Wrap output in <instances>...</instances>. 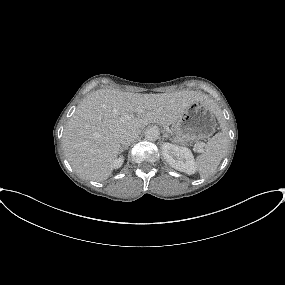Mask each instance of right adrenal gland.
Wrapping results in <instances>:
<instances>
[{
	"mask_svg": "<svg viewBox=\"0 0 285 285\" xmlns=\"http://www.w3.org/2000/svg\"><path fill=\"white\" fill-rule=\"evenodd\" d=\"M128 147H129V145H127V146H122V147L120 148V153H122L124 150L128 149Z\"/></svg>",
	"mask_w": 285,
	"mask_h": 285,
	"instance_id": "1",
	"label": "right adrenal gland"
}]
</instances>
